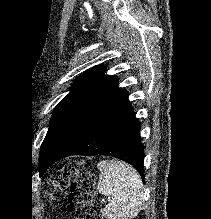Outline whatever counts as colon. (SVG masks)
I'll return each mask as SVG.
<instances>
[{
	"instance_id": "5ec220e1",
	"label": "colon",
	"mask_w": 211,
	"mask_h": 219,
	"mask_svg": "<svg viewBox=\"0 0 211 219\" xmlns=\"http://www.w3.org/2000/svg\"><path fill=\"white\" fill-rule=\"evenodd\" d=\"M69 184L67 196L73 219H103L96 211L91 191L95 184L92 166L87 161L67 160L59 164L46 186L53 203L59 200Z\"/></svg>"
}]
</instances>
